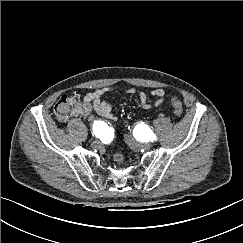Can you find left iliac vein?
Returning <instances> with one entry per match:
<instances>
[{"label": "left iliac vein", "instance_id": "obj_1", "mask_svg": "<svg viewBox=\"0 0 243 243\" xmlns=\"http://www.w3.org/2000/svg\"><path fill=\"white\" fill-rule=\"evenodd\" d=\"M126 141L130 144V145H133V146H136L140 149H150L151 145L149 143H137V142H134L130 136H126Z\"/></svg>", "mask_w": 243, "mask_h": 243}]
</instances>
